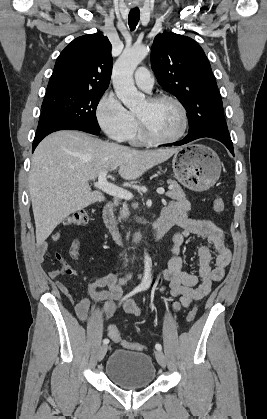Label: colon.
<instances>
[{"mask_svg":"<svg viewBox=\"0 0 267 419\" xmlns=\"http://www.w3.org/2000/svg\"><path fill=\"white\" fill-rule=\"evenodd\" d=\"M213 208L217 213H222L225 209V203H224L223 199L220 198V197L215 198L214 201H213ZM90 217L91 216H90V213L88 211L77 210V211H74L73 213H71L64 220L63 224L65 226L84 225L90 220ZM58 258L62 262L61 272L63 274H72L74 272L73 269L70 266H68V264L65 263L63 261V259H61L60 257H58ZM196 315H197V308L193 307L192 309L189 310V312L187 314V321L192 322L195 319ZM108 334L114 342L119 343L123 347L130 348V349L135 350V351H142V350L145 349L144 345H142L140 343H135V342H131V341H128V340L124 339L120 335L117 328L114 327V326H110L108 328Z\"/></svg>","mask_w":267,"mask_h":419,"instance_id":"obj_1","label":"colon"}]
</instances>
